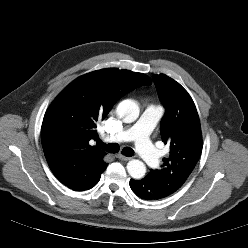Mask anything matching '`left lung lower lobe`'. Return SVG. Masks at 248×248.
<instances>
[{
    "mask_svg": "<svg viewBox=\"0 0 248 248\" xmlns=\"http://www.w3.org/2000/svg\"><path fill=\"white\" fill-rule=\"evenodd\" d=\"M132 191L141 199L159 200L169 196L158 184L152 182L148 177L141 180H130Z\"/></svg>",
    "mask_w": 248,
    "mask_h": 248,
    "instance_id": "0a47b994",
    "label": "left lung lower lobe"
}]
</instances>
